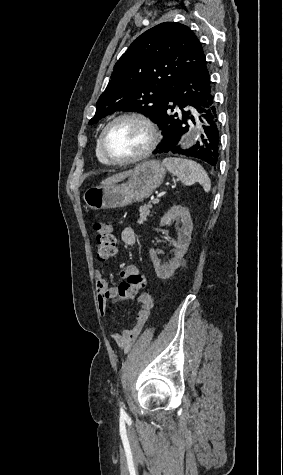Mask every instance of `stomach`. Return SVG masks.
Here are the masks:
<instances>
[{"label":"stomach","instance_id":"obj_1","mask_svg":"<svg viewBox=\"0 0 283 475\" xmlns=\"http://www.w3.org/2000/svg\"><path fill=\"white\" fill-rule=\"evenodd\" d=\"M166 170L159 160H144L132 170L126 184H110L86 190L83 198L91 210L124 208L133 202H142L161 186Z\"/></svg>","mask_w":283,"mask_h":475}]
</instances>
